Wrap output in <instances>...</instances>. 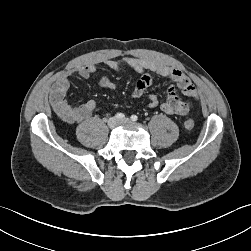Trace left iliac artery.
I'll list each match as a JSON object with an SVG mask.
<instances>
[{
  "mask_svg": "<svg viewBox=\"0 0 251 251\" xmlns=\"http://www.w3.org/2000/svg\"><path fill=\"white\" fill-rule=\"evenodd\" d=\"M131 120H132V121H137V120H138V117H137L136 115H132V116H131Z\"/></svg>",
  "mask_w": 251,
  "mask_h": 251,
  "instance_id": "1",
  "label": "left iliac artery"
}]
</instances>
